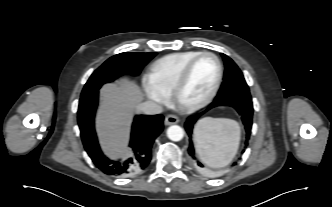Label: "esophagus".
<instances>
[{
  "label": "esophagus",
  "mask_w": 332,
  "mask_h": 207,
  "mask_svg": "<svg viewBox=\"0 0 332 207\" xmlns=\"http://www.w3.org/2000/svg\"><path fill=\"white\" fill-rule=\"evenodd\" d=\"M179 122V118L175 115H167L165 117V125H172V124H176Z\"/></svg>",
  "instance_id": "1"
}]
</instances>
